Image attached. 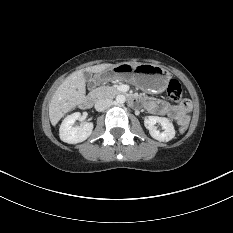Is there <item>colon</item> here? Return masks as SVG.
<instances>
[{"instance_id":"1","label":"colon","mask_w":233,"mask_h":233,"mask_svg":"<svg viewBox=\"0 0 233 233\" xmlns=\"http://www.w3.org/2000/svg\"><path fill=\"white\" fill-rule=\"evenodd\" d=\"M167 95L174 102H178L182 100L183 88L178 80L176 79L170 80L167 87ZM179 126L181 132L186 131L188 127V120L183 121Z\"/></svg>"}]
</instances>
